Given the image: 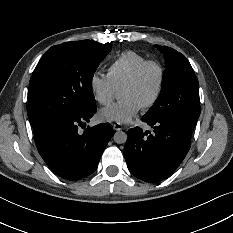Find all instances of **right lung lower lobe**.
<instances>
[{"mask_svg": "<svg viewBox=\"0 0 233 233\" xmlns=\"http://www.w3.org/2000/svg\"><path fill=\"white\" fill-rule=\"evenodd\" d=\"M97 111L95 103L63 120L36 124L33 127L37 149L48 167L67 180H79L92 174L113 136L109 123L87 127Z\"/></svg>", "mask_w": 233, "mask_h": 233, "instance_id": "right-lung-lower-lobe-1", "label": "right lung lower lobe"}]
</instances>
